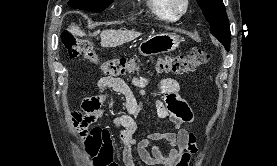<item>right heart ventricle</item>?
Segmentation results:
<instances>
[{"instance_id":"1","label":"right heart ventricle","mask_w":277,"mask_h":166,"mask_svg":"<svg viewBox=\"0 0 277 166\" xmlns=\"http://www.w3.org/2000/svg\"><path fill=\"white\" fill-rule=\"evenodd\" d=\"M151 12L160 20L174 21L176 16L169 10L166 0H146Z\"/></svg>"}]
</instances>
